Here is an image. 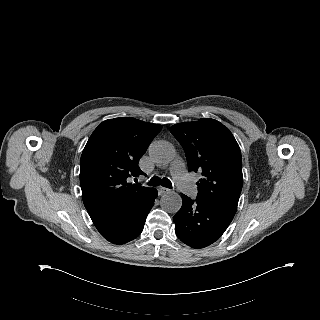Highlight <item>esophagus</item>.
<instances>
[{"mask_svg":"<svg viewBox=\"0 0 320 320\" xmlns=\"http://www.w3.org/2000/svg\"><path fill=\"white\" fill-rule=\"evenodd\" d=\"M169 192H171V190L168 189V188H165V187H159L158 188L159 195L166 194V193H169Z\"/></svg>","mask_w":320,"mask_h":320,"instance_id":"34e87169","label":"esophagus"}]
</instances>
